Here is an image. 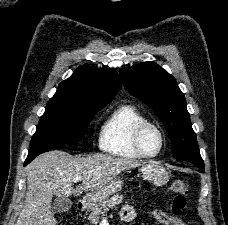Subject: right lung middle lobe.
<instances>
[{"mask_svg": "<svg viewBox=\"0 0 228 225\" xmlns=\"http://www.w3.org/2000/svg\"><path fill=\"white\" fill-rule=\"evenodd\" d=\"M106 104L51 99L32 137L29 150L81 140L97 111Z\"/></svg>", "mask_w": 228, "mask_h": 225, "instance_id": "1", "label": "right lung middle lobe"}]
</instances>
